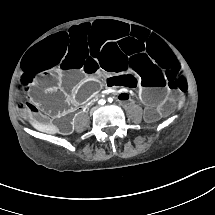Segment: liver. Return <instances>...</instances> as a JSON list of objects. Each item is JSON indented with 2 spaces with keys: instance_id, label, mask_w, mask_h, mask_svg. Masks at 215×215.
<instances>
[{
  "instance_id": "liver-1",
  "label": "liver",
  "mask_w": 215,
  "mask_h": 215,
  "mask_svg": "<svg viewBox=\"0 0 215 215\" xmlns=\"http://www.w3.org/2000/svg\"><path fill=\"white\" fill-rule=\"evenodd\" d=\"M32 125L34 126V128L44 133L56 134L59 132V129L54 125H44L40 123H33Z\"/></svg>"
}]
</instances>
